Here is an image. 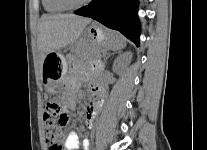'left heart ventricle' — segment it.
Returning a JSON list of instances; mask_svg holds the SVG:
<instances>
[{"label": "left heart ventricle", "mask_w": 207, "mask_h": 150, "mask_svg": "<svg viewBox=\"0 0 207 150\" xmlns=\"http://www.w3.org/2000/svg\"><path fill=\"white\" fill-rule=\"evenodd\" d=\"M71 1L77 3V2H80V1H82V0H71Z\"/></svg>", "instance_id": "obj_1"}]
</instances>
